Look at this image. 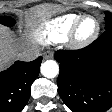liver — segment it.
<instances>
[{"label":"liver","instance_id":"1","mask_svg":"<svg viewBox=\"0 0 112 112\" xmlns=\"http://www.w3.org/2000/svg\"><path fill=\"white\" fill-rule=\"evenodd\" d=\"M54 12L51 5H39L32 8L27 18L28 26H33L37 19H45ZM26 47L25 44L19 46L12 32L7 27L0 25V70L19 57L20 51Z\"/></svg>","mask_w":112,"mask_h":112}]
</instances>
